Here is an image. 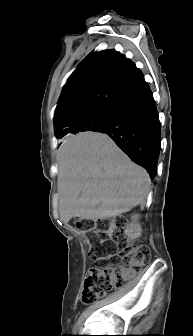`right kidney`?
I'll return each instance as SVG.
<instances>
[{
  "mask_svg": "<svg viewBox=\"0 0 193 336\" xmlns=\"http://www.w3.org/2000/svg\"><path fill=\"white\" fill-rule=\"evenodd\" d=\"M139 215L135 214L131 217L130 224L126 225L125 234L129 238H138L141 235V225L139 223Z\"/></svg>",
  "mask_w": 193,
  "mask_h": 336,
  "instance_id": "ca27d5eb",
  "label": "right kidney"
}]
</instances>
